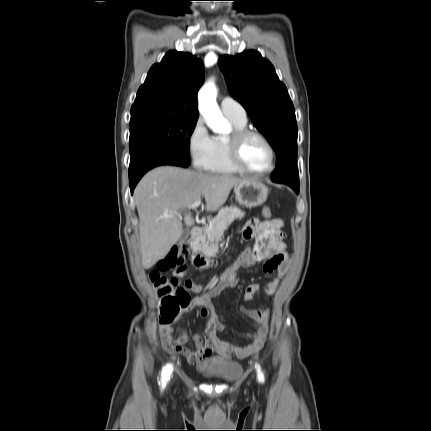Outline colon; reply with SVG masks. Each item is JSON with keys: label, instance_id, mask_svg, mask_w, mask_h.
<instances>
[{"label": "colon", "instance_id": "5ec220e1", "mask_svg": "<svg viewBox=\"0 0 431 431\" xmlns=\"http://www.w3.org/2000/svg\"><path fill=\"white\" fill-rule=\"evenodd\" d=\"M263 214L270 217V208L265 207ZM187 256V248L174 247L158 262L157 269L150 274V279L160 300L161 318L166 322L174 320L180 312L190 314L195 308L208 309L216 301V297H221L226 289H232L233 284L237 283V278L234 275L243 270L244 261L252 256V249L250 243H246L244 249L235 256V259L226 265L230 267L229 277L226 278L224 275L221 278L217 277L216 285H213L211 290H207L206 295L197 296L194 302L190 300L187 287L180 285L179 281V276L187 269L185 263ZM169 271H172L174 276L164 275Z\"/></svg>", "mask_w": 431, "mask_h": 431}]
</instances>
